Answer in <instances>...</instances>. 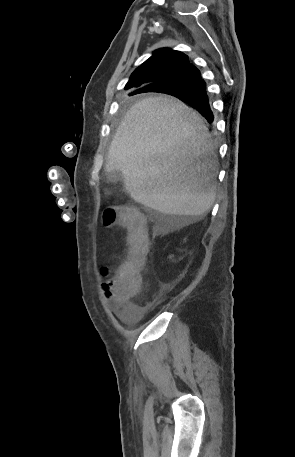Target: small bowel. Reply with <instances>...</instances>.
Instances as JSON below:
<instances>
[{
  "label": "small bowel",
  "mask_w": 295,
  "mask_h": 457,
  "mask_svg": "<svg viewBox=\"0 0 295 457\" xmlns=\"http://www.w3.org/2000/svg\"><path fill=\"white\" fill-rule=\"evenodd\" d=\"M117 307L121 309L122 317L125 321L137 320L145 313V308L131 304L129 301L117 303Z\"/></svg>",
  "instance_id": "small-bowel-1"
}]
</instances>
